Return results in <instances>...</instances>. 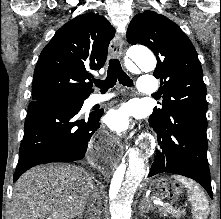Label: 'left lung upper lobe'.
<instances>
[{
    "mask_svg": "<svg viewBox=\"0 0 221 219\" xmlns=\"http://www.w3.org/2000/svg\"><path fill=\"white\" fill-rule=\"evenodd\" d=\"M127 40L132 45L149 47L157 58L153 75L160 79L164 100L150 118L163 121L175 110H182L206 119L202 67L194 46L180 27L163 15L145 11L131 20Z\"/></svg>",
    "mask_w": 221,
    "mask_h": 219,
    "instance_id": "left-lung-upper-lobe-1",
    "label": "left lung upper lobe"
}]
</instances>
